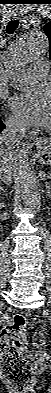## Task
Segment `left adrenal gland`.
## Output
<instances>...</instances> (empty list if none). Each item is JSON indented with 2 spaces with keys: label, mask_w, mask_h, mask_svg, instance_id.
<instances>
[{
  "label": "left adrenal gland",
  "mask_w": 51,
  "mask_h": 393,
  "mask_svg": "<svg viewBox=\"0 0 51 393\" xmlns=\"http://www.w3.org/2000/svg\"><path fill=\"white\" fill-rule=\"evenodd\" d=\"M45 184H46V188H47L46 196H49L50 195V185L48 184V182H45Z\"/></svg>",
  "instance_id": "obj_1"
}]
</instances>
